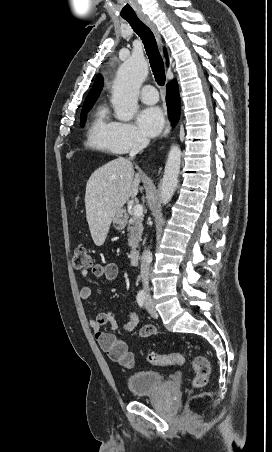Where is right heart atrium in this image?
Masks as SVG:
<instances>
[{
    "label": "right heart atrium",
    "mask_w": 272,
    "mask_h": 452,
    "mask_svg": "<svg viewBox=\"0 0 272 452\" xmlns=\"http://www.w3.org/2000/svg\"><path fill=\"white\" fill-rule=\"evenodd\" d=\"M113 141L118 151L124 153L143 146L146 138L134 124L118 122L114 131Z\"/></svg>",
    "instance_id": "d8ad5b80"
}]
</instances>
